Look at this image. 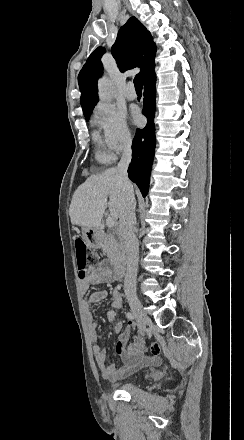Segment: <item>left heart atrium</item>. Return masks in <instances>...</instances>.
Returning <instances> with one entry per match:
<instances>
[{"instance_id": "left-heart-atrium-1", "label": "left heart atrium", "mask_w": 244, "mask_h": 440, "mask_svg": "<svg viewBox=\"0 0 244 440\" xmlns=\"http://www.w3.org/2000/svg\"><path fill=\"white\" fill-rule=\"evenodd\" d=\"M135 118H136L137 121H139L141 119V116L139 115L138 112L135 114Z\"/></svg>"}]
</instances>
